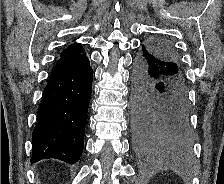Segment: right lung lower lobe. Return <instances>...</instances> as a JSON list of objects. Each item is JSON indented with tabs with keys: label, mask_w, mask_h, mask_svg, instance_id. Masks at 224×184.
<instances>
[{
	"label": "right lung lower lobe",
	"mask_w": 224,
	"mask_h": 184,
	"mask_svg": "<svg viewBox=\"0 0 224 184\" xmlns=\"http://www.w3.org/2000/svg\"><path fill=\"white\" fill-rule=\"evenodd\" d=\"M92 91V67L51 74L32 133L31 162L55 158L74 164L81 157Z\"/></svg>",
	"instance_id": "right-lung-lower-lobe-1"
}]
</instances>
